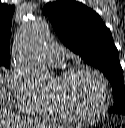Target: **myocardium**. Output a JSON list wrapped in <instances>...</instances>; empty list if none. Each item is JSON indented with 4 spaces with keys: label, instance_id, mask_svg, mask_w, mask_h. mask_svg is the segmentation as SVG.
<instances>
[{
    "label": "myocardium",
    "instance_id": "obj_1",
    "mask_svg": "<svg viewBox=\"0 0 125 128\" xmlns=\"http://www.w3.org/2000/svg\"><path fill=\"white\" fill-rule=\"evenodd\" d=\"M82 71L90 72L99 79L102 85V90H103V102H102L101 107L95 112L89 113V114H81V113H74V112L67 110L55 96L50 95V100H51V103L55 111L62 119L68 122L86 123V122L94 121L100 118L104 113H106L110 105L109 83L106 77L98 69L91 67L89 65H86V64H77V65L71 66L67 68L66 70H64L61 73L60 78L66 79Z\"/></svg>",
    "mask_w": 125,
    "mask_h": 128
}]
</instances>
